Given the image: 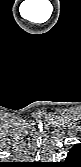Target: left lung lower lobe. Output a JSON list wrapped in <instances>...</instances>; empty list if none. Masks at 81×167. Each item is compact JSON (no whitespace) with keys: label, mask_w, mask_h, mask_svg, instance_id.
<instances>
[{"label":"left lung lower lobe","mask_w":81,"mask_h":167,"mask_svg":"<svg viewBox=\"0 0 81 167\" xmlns=\"http://www.w3.org/2000/svg\"><path fill=\"white\" fill-rule=\"evenodd\" d=\"M81 158V145L76 144L71 148L67 157H66V164L70 162H77Z\"/></svg>","instance_id":"1"}]
</instances>
